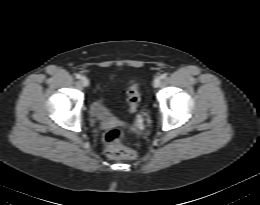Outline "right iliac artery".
Here are the masks:
<instances>
[{
  "mask_svg": "<svg viewBox=\"0 0 260 205\" xmlns=\"http://www.w3.org/2000/svg\"><path fill=\"white\" fill-rule=\"evenodd\" d=\"M75 77H76L77 79H80V78H81V75H80V74H75Z\"/></svg>",
  "mask_w": 260,
  "mask_h": 205,
  "instance_id": "82829eb1",
  "label": "right iliac artery"
}]
</instances>
